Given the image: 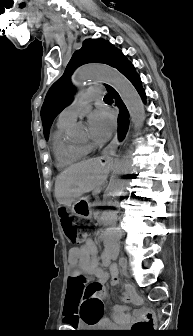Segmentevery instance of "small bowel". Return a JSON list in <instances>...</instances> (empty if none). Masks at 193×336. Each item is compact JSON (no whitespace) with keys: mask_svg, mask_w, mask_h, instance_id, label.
<instances>
[{"mask_svg":"<svg viewBox=\"0 0 193 336\" xmlns=\"http://www.w3.org/2000/svg\"><path fill=\"white\" fill-rule=\"evenodd\" d=\"M114 254L111 250H106L101 256L104 266L110 267V283L118 285L120 282L119 273L115 265L110 263V258ZM69 261V279L67 288V303L64 309V319L66 324L72 325L80 317L79 308L81 305V293L78 282L83 277H94L103 283L108 280V273L100 266V259L97 254V248L94 241L86 239L81 247L72 248L68 256ZM122 298L127 302L138 301L135 289L127 284ZM135 314V313H134ZM113 322L109 320H100L101 325H111L112 323L121 325L133 319L130 310L127 307L114 306L112 308Z\"/></svg>","mask_w":193,"mask_h":336,"instance_id":"c3829d8e","label":"small bowel"}]
</instances>
